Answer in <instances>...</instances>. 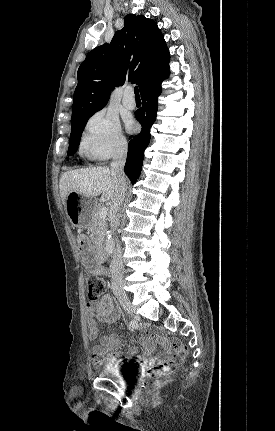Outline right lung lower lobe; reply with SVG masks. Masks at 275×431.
<instances>
[{
  "label": "right lung lower lobe",
  "mask_w": 275,
  "mask_h": 431,
  "mask_svg": "<svg viewBox=\"0 0 275 431\" xmlns=\"http://www.w3.org/2000/svg\"><path fill=\"white\" fill-rule=\"evenodd\" d=\"M168 75L169 72L160 81L141 94L143 107L136 111L135 116L142 125V131L133 138L130 137L132 139L128 145L127 160L124 167V171L132 184L137 181L141 172L144 150L149 145L151 139L150 128L156 120L157 98L162 90L161 83Z\"/></svg>",
  "instance_id": "obj_1"
}]
</instances>
